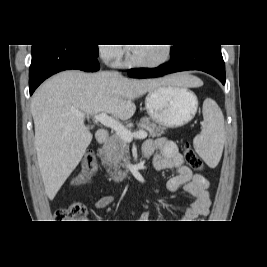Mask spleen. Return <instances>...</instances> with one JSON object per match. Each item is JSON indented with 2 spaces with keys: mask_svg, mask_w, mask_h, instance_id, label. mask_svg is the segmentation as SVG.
Here are the masks:
<instances>
[{
  "mask_svg": "<svg viewBox=\"0 0 267 267\" xmlns=\"http://www.w3.org/2000/svg\"><path fill=\"white\" fill-rule=\"evenodd\" d=\"M225 140L224 117L220 108L206 107L201 133L194 138V148L199 156L210 167H215L220 161Z\"/></svg>",
  "mask_w": 267,
  "mask_h": 267,
  "instance_id": "1",
  "label": "spleen"
}]
</instances>
